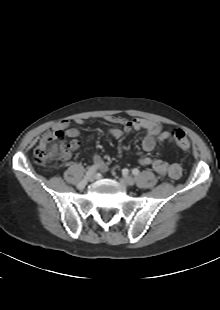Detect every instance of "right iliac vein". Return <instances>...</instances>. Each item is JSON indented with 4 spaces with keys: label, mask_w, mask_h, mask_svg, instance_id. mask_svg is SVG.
I'll list each match as a JSON object with an SVG mask.
<instances>
[{
    "label": "right iliac vein",
    "mask_w": 220,
    "mask_h": 310,
    "mask_svg": "<svg viewBox=\"0 0 220 310\" xmlns=\"http://www.w3.org/2000/svg\"><path fill=\"white\" fill-rule=\"evenodd\" d=\"M96 179V175L95 174H91L88 178V181L93 182Z\"/></svg>",
    "instance_id": "obj_1"
}]
</instances>
